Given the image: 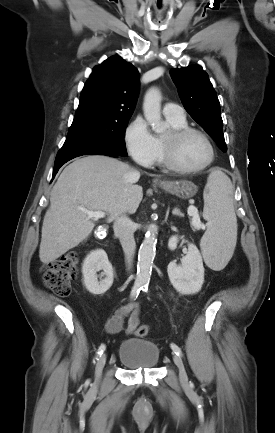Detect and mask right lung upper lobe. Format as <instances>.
Listing matches in <instances>:
<instances>
[{"label": "right lung upper lobe", "mask_w": 275, "mask_h": 433, "mask_svg": "<svg viewBox=\"0 0 275 433\" xmlns=\"http://www.w3.org/2000/svg\"><path fill=\"white\" fill-rule=\"evenodd\" d=\"M137 68L112 56L93 69L80 96L74 120L131 117L138 95Z\"/></svg>", "instance_id": "cb5924a9"}]
</instances>
